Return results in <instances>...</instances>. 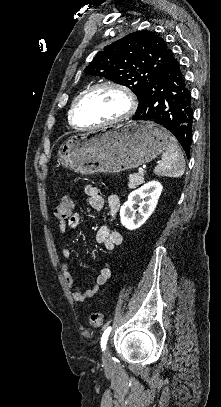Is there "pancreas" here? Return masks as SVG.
Here are the masks:
<instances>
[{
	"label": "pancreas",
	"instance_id": "cf45deb5",
	"mask_svg": "<svg viewBox=\"0 0 221 407\" xmlns=\"http://www.w3.org/2000/svg\"><path fill=\"white\" fill-rule=\"evenodd\" d=\"M144 182V178L142 174H131L129 176L128 187L133 189L136 186L141 185Z\"/></svg>",
	"mask_w": 221,
	"mask_h": 407
}]
</instances>
